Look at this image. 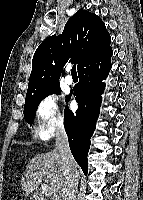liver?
Returning a JSON list of instances; mask_svg holds the SVG:
<instances>
[{"label": "liver", "instance_id": "6515ba94", "mask_svg": "<svg viewBox=\"0 0 143 200\" xmlns=\"http://www.w3.org/2000/svg\"><path fill=\"white\" fill-rule=\"evenodd\" d=\"M65 170L59 152L54 149L34 156L23 173L21 187L26 195L38 191L45 184L51 200H61Z\"/></svg>", "mask_w": 143, "mask_h": 200}]
</instances>
